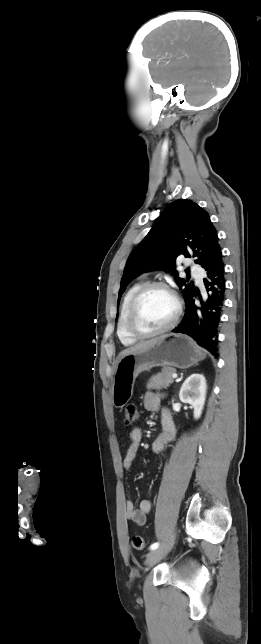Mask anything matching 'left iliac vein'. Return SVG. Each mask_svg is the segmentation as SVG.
Returning <instances> with one entry per match:
<instances>
[{"label": "left iliac vein", "instance_id": "obj_1", "mask_svg": "<svg viewBox=\"0 0 261 644\" xmlns=\"http://www.w3.org/2000/svg\"><path fill=\"white\" fill-rule=\"evenodd\" d=\"M176 538V532L172 531L166 543L155 550H152L146 558V566L152 567L158 563L173 547Z\"/></svg>", "mask_w": 261, "mask_h": 644}]
</instances>
